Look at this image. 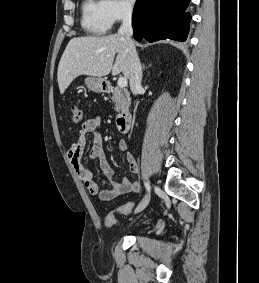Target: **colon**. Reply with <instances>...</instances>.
<instances>
[{
  "label": "colon",
  "instance_id": "1",
  "mask_svg": "<svg viewBox=\"0 0 259 283\" xmlns=\"http://www.w3.org/2000/svg\"><path fill=\"white\" fill-rule=\"evenodd\" d=\"M72 113H73V120L76 123H80L84 120V113L83 110L80 106L78 105H74L72 107ZM134 204L131 202L128 203H124L122 204L118 209L117 212H109L107 213L106 217H105V224L107 226H113L116 222V214H128L131 212V210L133 209Z\"/></svg>",
  "mask_w": 259,
  "mask_h": 283
}]
</instances>
